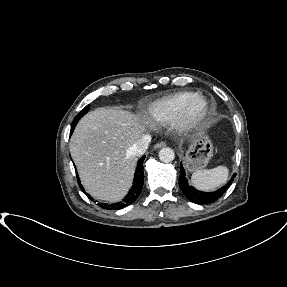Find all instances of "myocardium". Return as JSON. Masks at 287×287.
Here are the masks:
<instances>
[{"label": "myocardium", "instance_id": "obj_1", "mask_svg": "<svg viewBox=\"0 0 287 287\" xmlns=\"http://www.w3.org/2000/svg\"><path fill=\"white\" fill-rule=\"evenodd\" d=\"M212 111L210 100L196 94L185 103L173 122L179 132L188 133L201 127L209 119Z\"/></svg>", "mask_w": 287, "mask_h": 287}]
</instances>
